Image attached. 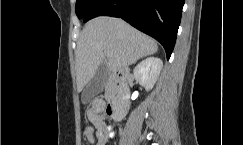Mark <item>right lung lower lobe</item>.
<instances>
[{
	"mask_svg": "<svg viewBox=\"0 0 243 145\" xmlns=\"http://www.w3.org/2000/svg\"><path fill=\"white\" fill-rule=\"evenodd\" d=\"M185 0H98L83 17H119L154 37L165 48L167 59L173 51Z\"/></svg>",
	"mask_w": 243,
	"mask_h": 145,
	"instance_id": "1",
	"label": "right lung lower lobe"
}]
</instances>
